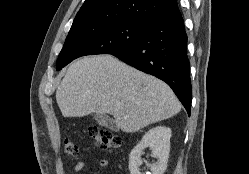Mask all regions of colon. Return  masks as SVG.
Masks as SVG:
<instances>
[{
  "instance_id": "obj_1",
  "label": "colon",
  "mask_w": 249,
  "mask_h": 174,
  "mask_svg": "<svg viewBox=\"0 0 249 174\" xmlns=\"http://www.w3.org/2000/svg\"><path fill=\"white\" fill-rule=\"evenodd\" d=\"M89 136L94 140L98 147L104 149H117L121 146L122 140L120 136L113 132L100 129L98 127H90L88 130ZM64 153L69 156H76L79 153L78 147L75 142L70 138H65L63 141Z\"/></svg>"
}]
</instances>
